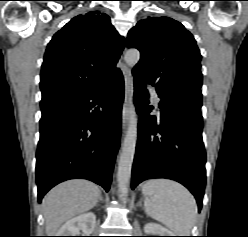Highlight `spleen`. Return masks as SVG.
Returning <instances> with one entry per match:
<instances>
[{
	"label": "spleen",
	"mask_w": 248,
	"mask_h": 237,
	"mask_svg": "<svg viewBox=\"0 0 248 237\" xmlns=\"http://www.w3.org/2000/svg\"><path fill=\"white\" fill-rule=\"evenodd\" d=\"M145 212L177 236H190L197 205L194 197L181 184L166 180H148L142 187Z\"/></svg>",
	"instance_id": "obj_1"
}]
</instances>
